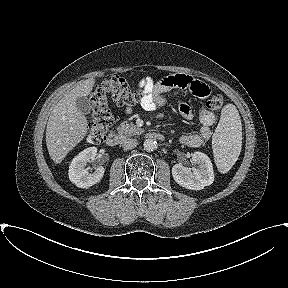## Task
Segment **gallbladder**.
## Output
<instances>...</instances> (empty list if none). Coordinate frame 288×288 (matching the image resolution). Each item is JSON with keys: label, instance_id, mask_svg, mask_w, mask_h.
<instances>
[{"label": "gallbladder", "instance_id": "1", "mask_svg": "<svg viewBox=\"0 0 288 288\" xmlns=\"http://www.w3.org/2000/svg\"><path fill=\"white\" fill-rule=\"evenodd\" d=\"M76 107L84 114H89L91 110L90 101L87 97H77Z\"/></svg>", "mask_w": 288, "mask_h": 288}]
</instances>
